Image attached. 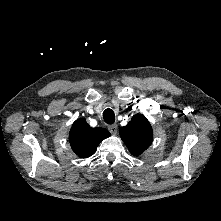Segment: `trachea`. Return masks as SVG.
<instances>
[{
	"mask_svg": "<svg viewBox=\"0 0 221 221\" xmlns=\"http://www.w3.org/2000/svg\"><path fill=\"white\" fill-rule=\"evenodd\" d=\"M103 119L107 124H113L115 122V114L112 109L107 108L103 112Z\"/></svg>",
	"mask_w": 221,
	"mask_h": 221,
	"instance_id": "trachea-1",
	"label": "trachea"
}]
</instances>
